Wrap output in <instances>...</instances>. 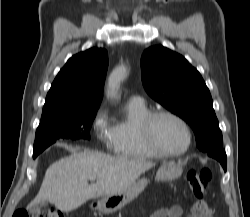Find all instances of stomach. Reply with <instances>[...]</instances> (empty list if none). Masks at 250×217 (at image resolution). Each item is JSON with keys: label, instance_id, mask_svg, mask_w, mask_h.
I'll return each instance as SVG.
<instances>
[{"label": "stomach", "instance_id": "0dacf381", "mask_svg": "<svg viewBox=\"0 0 250 217\" xmlns=\"http://www.w3.org/2000/svg\"><path fill=\"white\" fill-rule=\"evenodd\" d=\"M182 174V167L176 163L163 164L156 173V179L168 181L178 178ZM147 179L136 180L130 187L114 195L103 196L96 202V208L103 214H111L133 201L147 186Z\"/></svg>", "mask_w": 250, "mask_h": 217}]
</instances>
